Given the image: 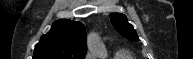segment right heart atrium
<instances>
[{
    "label": "right heart atrium",
    "mask_w": 193,
    "mask_h": 59,
    "mask_svg": "<svg viewBox=\"0 0 193 59\" xmlns=\"http://www.w3.org/2000/svg\"><path fill=\"white\" fill-rule=\"evenodd\" d=\"M90 57H91V55H90V54H88V55H87V59H90Z\"/></svg>",
    "instance_id": "right-heart-atrium-1"
}]
</instances>
